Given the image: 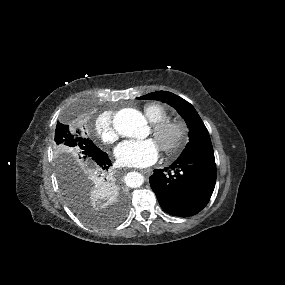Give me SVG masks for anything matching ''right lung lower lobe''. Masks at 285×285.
Listing matches in <instances>:
<instances>
[{"label": "right lung lower lobe", "mask_w": 285, "mask_h": 285, "mask_svg": "<svg viewBox=\"0 0 285 285\" xmlns=\"http://www.w3.org/2000/svg\"><path fill=\"white\" fill-rule=\"evenodd\" d=\"M97 165L101 169L103 173V179L101 181V184L105 185L106 187L113 189V178L109 174L106 173L108 171L109 167L112 166L111 161L108 158V155L104 152H101L96 159Z\"/></svg>", "instance_id": "obj_1"}]
</instances>
